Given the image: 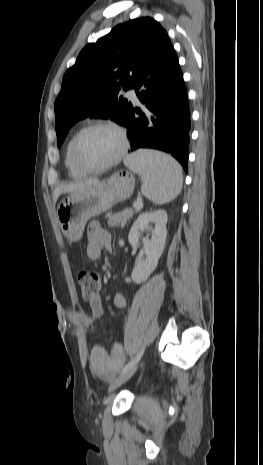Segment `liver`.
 Segmentation results:
<instances>
[{"label": "liver", "mask_w": 263, "mask_h": 465, "mask_svg": "<svg viewBox=\"0 0 263 465\" xmlns=\"http://www.w3.org/2000/svg\"><path fill=\"white\" fill-rule=\"evenodd\" d=\"M98 182H99L98 179H88V180H85V181L60 185L54 190L53 200H54V202H56L57 199L59 198V196L61 194H63V193L77 192V191L83 190V189H85V188H87V187H89V186H91L93 184H96Z\"/></svg>", "instance_id": "obj_1"}]
</instances>
